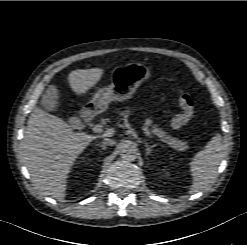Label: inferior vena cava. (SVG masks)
I'll use <instances>...</instances> for the list:
<instances>
[{
	"instance_id": "1",
	"label": "inferior vena cava",
	"mask_w": 247,
	"mask_h": 245,
	"mask_svg": "<svg viewBox=\"0 0 247 245\" xmlns=\"http://www.w3.org/2000/svg\"><path fill=\"white\" fill-rule=\"evenodd\" d=\"M102 143L104 145H114L115 144V141L112 140V139H110V138H104Z\"/></svg>"
}]
</instances>
